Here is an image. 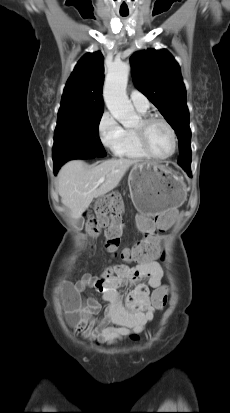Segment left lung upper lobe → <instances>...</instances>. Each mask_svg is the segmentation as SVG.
<instances>
[{"label": "left lung upper lobe", "instance_id": "5c2ea615", "mask_svg": "<svg viewBox=\"0 0 230 413\" xmlns=\"http://www.w3.org/2000/svg\"><path fill=\"white\" fill-rule=\"evenodd\" d=\"M130 61L135 86L159 109L177 134L179 166L191 168L189 111L178 63L166 49L136 52Z\"/></svg>", "mask_w": 230, "mask_h": 413}]
</instances>
